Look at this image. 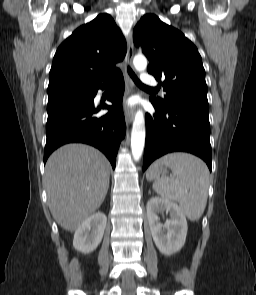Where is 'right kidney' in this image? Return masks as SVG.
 <instances>
[{"label":"right kidney","instance_id":"obj_1","mask_svg":"<svg viewBox=\"0 0 256 295\" xmlns=\"http://www.w3.org/2000/svg\"><path fill=\"white\" fill-rule=\"evenodd\" d=\"M107 218L102 212L92 214L75 231L73 246L77 251L90 253L100 244L106 228Z\"/></svg>","mask_w":256,"mask_h":295}]
</instances>
